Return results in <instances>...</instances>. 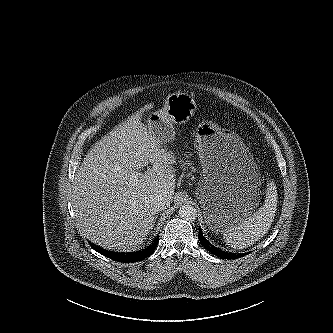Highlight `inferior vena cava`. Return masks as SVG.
<instances>
[{"instance_id":"inferior-vena-cava-1","label":"inferior vena cava","mask_w":333,"mask_h":333,"mask_svg":"<svg viewBox=\"0 0 333 333\" xmlns=\"http://www.w3.org/2000/svg\"><path fill=\"white\" fill-rule=\"evenodd\" d=\"M170 206V200L162 195V194H158L154 197L153 200V207L155 209V211H161L164 210L166 208H168Z\"/></svg>"}]
</instances>
